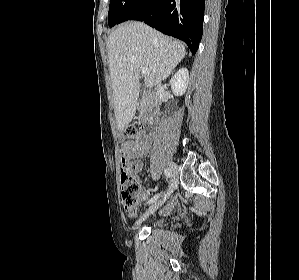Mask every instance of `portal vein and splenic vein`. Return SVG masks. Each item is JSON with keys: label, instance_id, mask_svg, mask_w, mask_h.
<instances>
[{"label": "portal vein and splenic vein", "instance_id": "obj_1", "mask_svg": "<svg viewBox=\"0 0 299 280\" xmlns=\"http://www.w3.org/2000/svg\"><path fill=\"white\" fill-rule=\"evenodd\" d=\"M140 73L142 75H148L150 73V71L146 67H141L140 68Z\"/></svg>", "mask_w": 299, "mask_h": 280}]
</instances>
